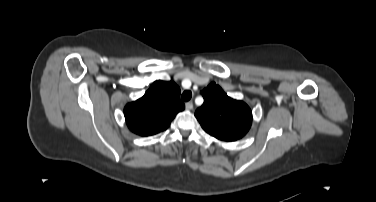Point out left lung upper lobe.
Instances as JSON below:
<instances>
[{"label": "left lung upper lobe", "instance_id": "left-lung-upper-lobe-1", "mask_svg": "<svg viewBox=\"0 0 376 202\" xmlns=\"http://www.w3.org/2000/svg\"><path fill=\"white\" fill-rule=\"evenodd\" d=\"M203 105L195 116L202 128L213 137L232 142L242 138L250 129L252 112L242 101H237L212 82L202 91Z\"/></svg>", "mask_w": 376, "mask_h": 202}]
</instances>
